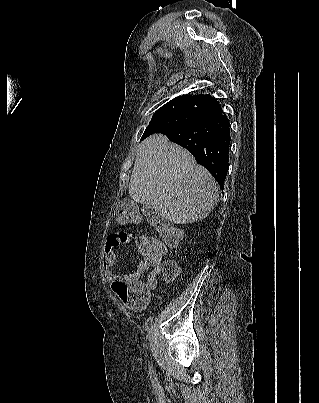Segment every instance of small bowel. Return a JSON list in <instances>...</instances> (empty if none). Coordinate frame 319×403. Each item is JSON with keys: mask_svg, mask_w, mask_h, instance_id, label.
<instances>
[{"mask_svg": "<svg viewBox=\"0 0 319 403\" xmlns=\"http://www.w3.org/2000/svg\"><path fill=\"white\" fill-rule=\"evenodd\" d=\"M106 237L103 268L105 277L114 287L117 302H123V309H147V300H152L151 285H148V279L141 277L150 269L151 276L156 275L159 263L141 254L134 273H115L118 256L114 249H138V236L134 235L133 229H111L106 232Z\"/></svg>", "mask_w": 319, "mask_h": 403, "instance_id": "small-bowel-1", "label": "small bowel"}]
</instances>
